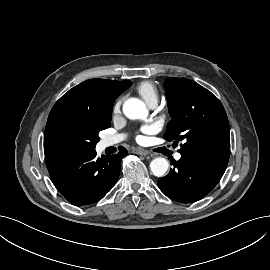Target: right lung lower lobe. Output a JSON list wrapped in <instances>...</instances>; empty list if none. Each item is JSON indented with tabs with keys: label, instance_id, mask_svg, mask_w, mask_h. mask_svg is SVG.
I'll list each match as a JSON object with an SVG mask.
<instances>
[{
	"label": "right lung lower lobe",
	"instance_id": "1",
	"mask_svg": "<svg viewBox=\"0 0 270 270\" xmlns=\"http://www.w3.org/2000/svg\"><path fill=\"white\" fill-rule=\"evenodd\" d=\"M128 154L96 158V151L45 156V163L57 190L73 205H89L102 199L115 185L121 159Z\"/></svg>",
	"mask_w": 270,
	"mask_h": 270
}]
</instances>
